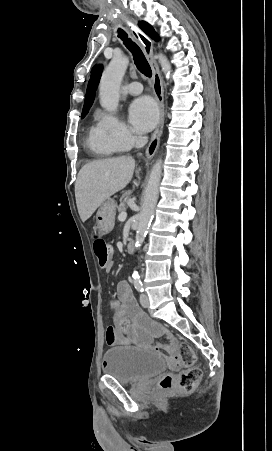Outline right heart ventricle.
Segmentation results:
<instances>
[{
    "label": "right heart ventricle",
    "mask_w": 272,
    "mask_h": 451,
    "mask_svg": "<svg viewBox=\"0 0 272 451\" xmlns=\"http://www.w3.org/2000/svg\"><path fill=\"white\" fill-rule=\"evenodd\" d=\"M89 146L100 155L113 154L118 146L100 129L99 126L92 128L89 139Z\"/></svg>",
    "instance_id": "1"
}]
</instances>
